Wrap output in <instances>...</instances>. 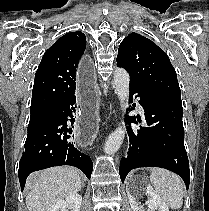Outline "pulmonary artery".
<instances>
[{"mask_svg":"<svg viewBox=\"0 0 209 211\" xmlns=\"http://www.w3.org/2000/svg\"><path fill=\"white\" fill-rule=\"evenodd\" d=\"M137 106H138V109L140 110V112H143V107L141 106V104L139 102H137Z\"/></svg>","mask_w":209,"mask_h":211,"instance_id":"1","label":"pulmonary artery"}]
</instances>
